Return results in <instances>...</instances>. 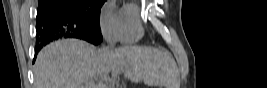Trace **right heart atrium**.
<instances>
[{
    "instance_id": "right-heart-atrium-1",
    "label": "right heart atrium",
    "mask_w": 267,
    "mask_h": 88,
    "mask_svg": "<svg viewBox=\"0 0 267 88\" xmlns=\"http://www.w3.org/2000/svg\"><path fill=\"white\" fill-rule=\"evenodd\" d=\"M100 29L109 44L121 39V14L113 2H107L100 12Z\"/></svg>"
}]
</instances>
